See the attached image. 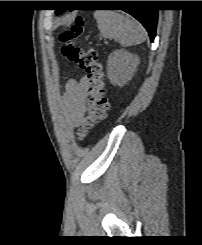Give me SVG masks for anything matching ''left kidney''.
I'll return each instance as SVG.
<instances>
[{"label":"left kidney","mask_w":202,"mask_h":245,"mask_svg":"<svg viewBox=\"0 0 202 245\" xmlns=\"http://www.w3.org/2000/svg\"><path fill=\"white\" fill-rule=\"evenodd\" d=\"M139 57L127 50H116L112 52L107 61V77L111 84L123 87L133 77Z\"/></svg>","instance_id":"obj_1"}]
</instances>
